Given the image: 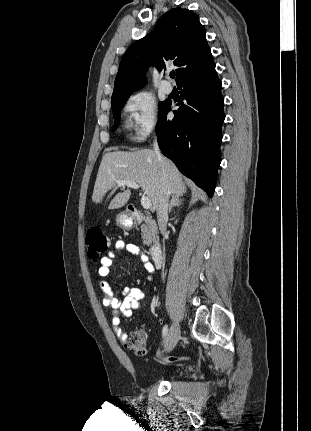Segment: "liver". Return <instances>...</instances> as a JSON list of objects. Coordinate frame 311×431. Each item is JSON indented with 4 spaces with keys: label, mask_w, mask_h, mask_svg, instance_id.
<instances>
[{
    "label": "liver",
    "mask_w": 311,
    "mask_h": 431,
    "mask_svg": "<svg viewBox=\"0 0 311 431\" xmlns=\"http://www.w3.org/2000/svg\"><path fill=\"white\" fill-rule=\"evenodd\" d=\"M116 150V148H113ZM161 170L166 172V182L172 196L186 194V186L183 176L175 164L162 156L159 162L153 150H138V152H108L102 158L99 166L92 202L102 204L105 196L116 188V180H129L139 184L141 190L152 202V210L155 212L158 204L160 190ZM131 198V190H122L111 200L108 210H119L128 204Z\"/></svg>",
    "instance_id": "1"
}]
</instances>
